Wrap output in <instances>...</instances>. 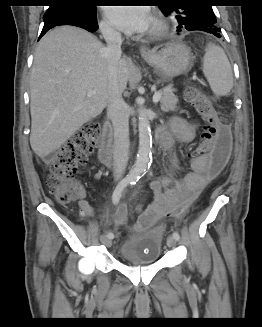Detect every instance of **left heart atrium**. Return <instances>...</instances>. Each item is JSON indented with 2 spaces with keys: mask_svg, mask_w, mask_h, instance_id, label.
Returning a JSON list of instances; mask_svg holds the SVG:
<instances>
[{
  "mask_svg": "<svg viewBox=\"0 0 262 327\" xmlns=\"http://www.w3.org/2000/svg\"><path fill=\"white\" fill-rule=\"evenodd\" d=\"M109 20L124 32H143L147 30L152 17L143 5H116L106 9Z\"/></svg>",
  "mask_w": 262,
  "mask_h": 327,
  "instance_id": "left-heart-atrium-1",
  "label": "left heart atrium"
}]
</instances>
